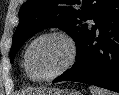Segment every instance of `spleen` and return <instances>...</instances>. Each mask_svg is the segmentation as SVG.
I'll return each mask as SVG.
<instances>
[{"instance_id": "1", "label": "spleen", "mask_w": 119, "mask_h": 95, "mask_svg": "<svg viewBox=\"0 0 119 95\" xmlns=\"http://www.w3.org/2000/svg\"><path fill=\"white\" fill-rule=\"evenodd\" d=\"M89 89L92 95H119L114 92H110L108 90H104L102 88H98L94 86H90Z\"/></svg>"}]
</instances>
